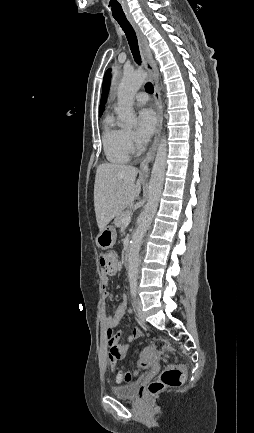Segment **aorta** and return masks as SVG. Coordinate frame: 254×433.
<instances>
[{"label": "aorta", "instance_id": "1", "mask_svg": "<svg viewBox=\"0 0 254 433\" xmlns=\"http://www.w3.org/2000/svg\"><path fill=\"white\" fill-rule=\"evenodd\" d=\"M146 79L147 74L141 70L125 72L119 84L117 92V111L119 120L126 126H133L136 123V115L133 111L134 96ZM166 156L167 142L166 137L163 136L157 148L155 161L151 171L148 201L145 206L144 215L132 236V242L128 254V278L130 282H135L138 278L139 249L144 234L157 211L164 183Z\"/></svg>", "mask_w": 254, "mask_h": 433}]
</instances>
